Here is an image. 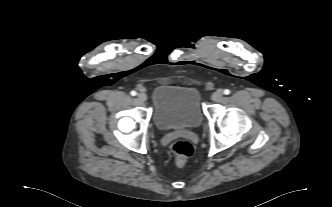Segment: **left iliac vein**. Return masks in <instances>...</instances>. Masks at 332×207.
<instances>
[{
  "instance_id": "left-iliac-vein-1",
  "label": "left iliac vein",
  "mask_w": 332,
  "mask_h": 207,
  "mask_svg": "<svg viewBox=\"0 0 332 207\" xmlns=\"http://www.w3.org/2000/svg\"><path fill=\"white\" fill-rule=\"evenodd\" d=\"M223 97V92L220 90H217L216 92H214L211 96V99L215 102L220 101L221 98Z\"/></svg>"
}]
</instances>
